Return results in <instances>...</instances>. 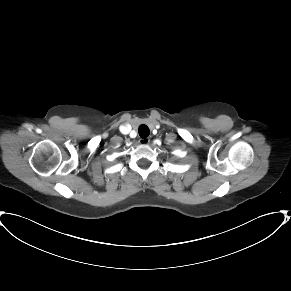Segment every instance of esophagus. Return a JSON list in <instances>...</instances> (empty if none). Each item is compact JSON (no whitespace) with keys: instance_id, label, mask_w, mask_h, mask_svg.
<instances>
[{"instance_id":"obj_1","label":"esophagus","mask_w":291,"mask_h":291,"mask_svg":"<svg viewBox=\"0 0 291 291\" xmlns=\"http://www.w3.org/2000/svg\"><path fill=\"white\" fill-rule=\"evenodd\" d=\"M149 142H150L149 138H141V139H139V143L141 145H147V144H149Z\"/></svg>"}]
</instances>
